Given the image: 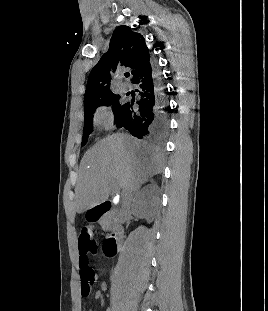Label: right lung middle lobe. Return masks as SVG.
Returning <instances> with one entry per match:
<instances>
[{
    "label": "right lung middle lobe",
    "mask_w": 268,
    "mask_h": 311,
    "mask_svg": "<svg viewBox=\"0 0 268 311\" xmlns=\"http://www.w3.org/2000/svg\"><path fill=\"white\" fill-rule=\"evenodd\" d=\"M102 105L104 106L112 105V110H113V113L115 115V120H116L123 106V103L120 101V95L112 94L109 97L98 102L88 111L84 112V129H83V139H82L83 146L86 144L88 136L93 131V113L97 107L102 106Z\"/></svg>",
    "instance_id": "obj_1"
}]
</instances>
